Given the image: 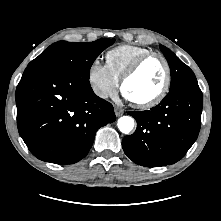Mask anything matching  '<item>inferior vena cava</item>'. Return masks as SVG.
<instances>
[{
  "mask_svg": "<svg viewBox=\"0 0 221 221\" xmlns=\"http://www.w3.org/2000/svg\"><path fill=\"white\" fill-rule=\"evenodd\" d=\"M100 96H102V97H106L107 96V94L106 93H104V92H101V93H98Z\"/></svg>",
  "mask_w": 221,
  "mask_h": 221,
  "instance_id": "602c4592",
  "label": "inferior vena cava"
}]
</instances>
